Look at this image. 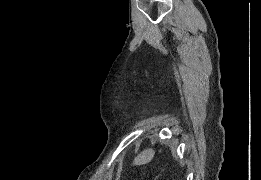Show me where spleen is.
Returning <instances> with one entry per match:
<instances>
[{"label":"spleen","instance_id":"spleen-1","mask_svg":"<svg viewBox=\"0 0 261 180\" xmlns=\"http://www.w3.org/2000/svg\"><path fill=\"white\" fill-rule=\"evenodd\" d=\"M154 150H151V148H148V150H144V152H141V154H138L136 156L133 164L134 166H143V164H149L151 160L154 158Z\"/></svg>","mask_w":261,"mask_h":180}]
</instances>
